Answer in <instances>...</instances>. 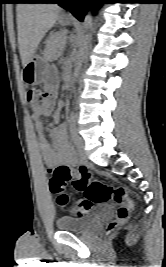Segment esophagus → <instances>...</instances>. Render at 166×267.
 Segmentation results:
<instances>
[{
    "mask_svg": "<svg viewBox=\"0 0 166 267\" xmlns=\"http://www.w3.org/2000/svg\"><path fill=\"white\" fill-rule=\"evenodd\" d=\"M68 16H71V14L69 13V14H67Z\"/></svg>",
    "mask_w": 166,
    "mask_h": 267,
    "instance_id": "34e87169",
    "label": "esophagus"
}]
</instances>
